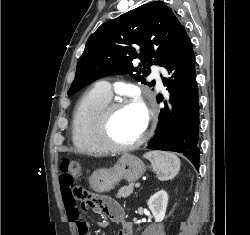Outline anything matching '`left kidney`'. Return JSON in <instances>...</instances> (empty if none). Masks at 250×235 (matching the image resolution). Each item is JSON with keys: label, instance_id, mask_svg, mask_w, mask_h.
Instances as JSON below:
<instances>
[{"label": "left kidney", "instance_id": "5707ae66", "mask_svg": "<svg viewBox=\"0 0 250 235\" xmlns=\"http://www.w3.org/2000/svg\"><path fill=\"white\" fill-rule=\"evenodd\" d=\"M151 210L155 222H162L165 218L166 209L168 205V194L164 190L156 192L147 202Z\"/></svg>", "mask_w": 250, "mask_h": 235}]
</instances>
